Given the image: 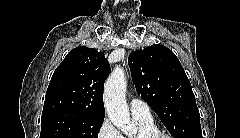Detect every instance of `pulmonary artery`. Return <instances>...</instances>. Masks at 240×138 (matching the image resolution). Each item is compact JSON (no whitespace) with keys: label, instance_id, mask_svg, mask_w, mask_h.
Returning a JSON list of instances; mask_svg holds the SVG:
<instances>
[{"label":"pulmonary artery","instance_id":"1","mask_svg":"<svg viewBox=\"0 0 240 138\" xmlns=\"http://www.w3.org/2000/svg\"><path fill=\"white\" fill-rule=\"evenodd\" d=\"M129 107L133 117H141V118L151 117L149 105L145 101L139 98H132L130 100Z\"/></svg>","mask_w":240,"mask_h":138}]
</instances>
